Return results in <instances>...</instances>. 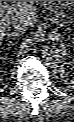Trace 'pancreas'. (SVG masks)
I'll use <instances>...</instances> for the list:
<instances>
[{"mask_svg":"<svg viewBox=\"0 0 74 122\" xmlns=\"http://www.w3.org/2000/svg\"><path fill=\"white\" fill-rule=\"evenodd\" d=\"M53 1H44L43 3H42V6L45 8V9H52V7H53ZM62 15V17H64L65 15H63V14H61Z\"/></svg>","mask_w":74,"mask_h":122,"instance_id":"1","label":"pancreas"}]
</instances>
